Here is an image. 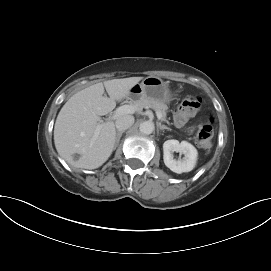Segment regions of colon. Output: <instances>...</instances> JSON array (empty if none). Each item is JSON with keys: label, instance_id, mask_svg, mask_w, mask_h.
<instances>
[{"label": "colon", "instance_id": "1", "mask_svg": "<svg viewBox=\"0 0 271 271\" xmlns=\"http://www.w3.org/2000/svg\"><path fill=\"white\" fill-rule=\"evenodd\" d=\"M200 99L196 96H187L175 112L174 120L179 126H186L190 118H192L200 108ZM213 118L209 116L203 121L196 132V142L198 146L204 150H210L213 143Z\"/></svg>", "mask_w": 271, "mask_h": 271}]
</instances>
